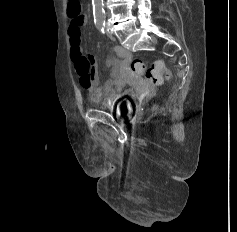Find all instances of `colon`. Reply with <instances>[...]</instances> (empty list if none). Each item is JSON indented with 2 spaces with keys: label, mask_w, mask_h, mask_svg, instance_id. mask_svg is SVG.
Instances as JSON below:
<instances>
[{
  "label": "colon",
  "mask_w": 237,
  "mask_h": 232,
  "mask_svg": "<svg viewBox=\"0 0 237 232\" xmlns=\"http://www.w3.org/2000/svg\"><path fill=\"white\" fill-rule=\"evenodd\" d=\"M68 14L71 18L82 16V5L79 0H69ZM130 68L135 74L144 77L155 85L161 84L166 74L165 66L161 61H155L150 66H146L140 59H133Z\"/></svg>",
  "instance_id": "5ec220e1"
}]
</instances>
